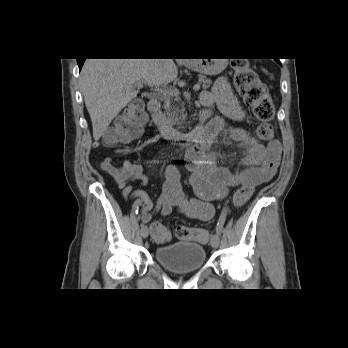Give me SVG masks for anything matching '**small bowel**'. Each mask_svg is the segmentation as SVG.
Masks as SVG:
<instances>
[{"instance_id":"c3829d8e","label":"small bowel","mask_w":348,"mask_h":348,"mask_svg":"<svg viewBox=\"0 0 348 348\" xmlns=\"http://www.w3.org/2000/svg\"><path fill=\"white\" fill-rule=\"evenodd\" d=\"M200 101L207 109L217 104L224 116L213 118L209 125L214 136L223 135L230 142L245 147L240 161V168L233 172L220 164L218 153L208 152L205 147L191 146L187 158L190 161V183L198 198H187L180 186V174L176 167L166 171L162 192L156 205L148 194L132 185L137 182L140 186L148 183L142 166L126 159L120 166H114L109 160L99 165L100 171L111 176L121 191L125 200L134 199V212L140 210L144 223L151 221L154 213L162 216L178 210L190 219L207 221L214 215L213 202L224 199L230 188L239 185L256 186L273 178L280 163L281 143L274 139L266 146L256 142L245 130L229 124L227 118L243 121L245 112L234 96L226 77H220L214 84L213 90L202 91Z\"/></svg>"}]
</instances>
